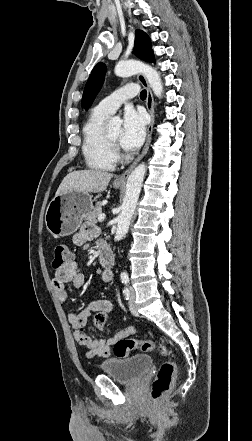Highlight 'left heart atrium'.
<instances>
[{
	"label": "left heart atrium",
	"mask_w": 252,
	"mask_h": 441,
	"mask_svg": "<svg viewBox=\"0 0 252 441\" xmlns=\"http://www.w3.org/2000/svg\"><path fill=\"white\" fill-rule=\"evenodd\" d=\"M146 134V116L133 107H128L123 115V127L119 139L121 147L126 151L138 149Z\"/></svg>",
	"instance_id": "39dd6f15"
}]
</instances>
